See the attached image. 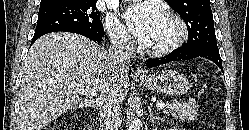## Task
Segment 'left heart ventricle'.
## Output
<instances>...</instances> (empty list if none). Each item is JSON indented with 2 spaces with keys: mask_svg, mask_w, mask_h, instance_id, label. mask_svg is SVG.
<instances>
[{
  "mask_svg": "<svg viewBox=\"0 0 249 130\" xmlns=\"http://www.w3.org/2000/svg\"><path fill=\"white\" fill-rule=\"evenodd\" d=\"M176 33L177 29L175 24L164 17L149 47H158L170 42Z\"/></svg>",
  "mask_w": 249,
  "mask_h": 130,
  "instance_id": "b2bd125f",
  "label": "left heart ventricle"
}]
</instances>
